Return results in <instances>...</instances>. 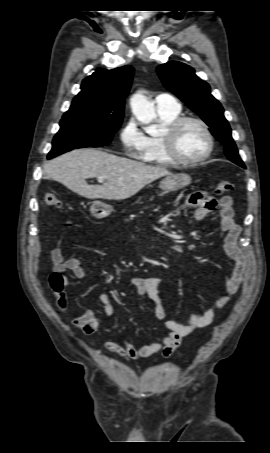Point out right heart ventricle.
Listing matches in <instances>:
<instances>
[{
  "label": "right heart ventricle",
  "mask_w": 270,
  "mask_h": 453,
  "mask_svg": "<svg viewBox=\"0 0 270 453\" xmlns=\"http://www.w3.org/2000/svg\"><path fill=\"white\" fill-rule=\"evenodd\" d=\"M180 116V110L176 112L159 113V119L163 126ZM144 163L156 165H173L174 163L164 152L159 136H148L144 151L139 156Z\"/></svg>",
  "instance_id": "right-heart-ventricle-1"
}]
</instances>
